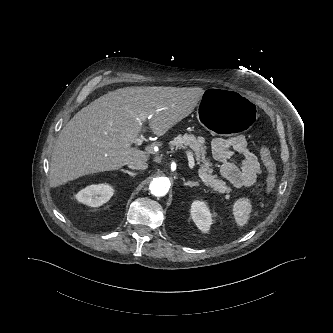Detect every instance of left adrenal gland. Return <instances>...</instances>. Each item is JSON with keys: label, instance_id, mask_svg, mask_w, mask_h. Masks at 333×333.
<instances>
[{"label": "left adrenal gland", "instance_id": "a2214340", "mask_svg": "<svg viewBox=\"0 0 333 333\" xmlns=\"http://www.w3.org/2000/svg\"><path fill=\"white\" fill-rule=\"evenodd\" d=\"M184 186H190V187H193V186H199V183L198 182H192V181H185L184 180Z\"/></svg>", "mask_w": 333, "mask_h": 333}]
</instances>
